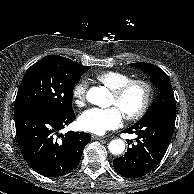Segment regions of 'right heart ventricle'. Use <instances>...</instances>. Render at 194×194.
<instances>
[{
	"label": "right heart ventricle",
	"mask_w": 194,
	"mask_h": 194,
	"mask_svg": "<svg viewBox=\"0 0 194 194\" xmlns=\"http://www.w3.org/2000/svg\"><path fill=\"white\" fill-rule=\"evenodd\" d=\"M95 78L98 82L103 84L106 88L113 90L123 83L132 79V76L120 71H104L97 73Z\"/></svg>",
	"instance_id": "right-heart-ventricle-1"
}]
</instances>
